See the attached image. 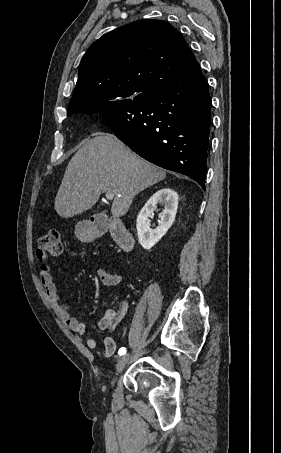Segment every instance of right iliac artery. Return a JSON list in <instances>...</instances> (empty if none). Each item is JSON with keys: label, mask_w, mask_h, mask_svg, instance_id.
<instances>
[{"label": "right iliac artery", "mask_w": 281, "mask_h": 453, "mask_svg": "<svg viewBox=\"0 0 281 453\" xmlns=\"http://www.w3.org/2000/svg\"><path fill=\"white\" fill-rule=\"evenodd\" d=\"M118 354H119V355H124V354H126V348H124V347L120 348L119 351H118Z\"/></svg>", "instance_id": "right-iliac-artery-1"}]
</instances>
